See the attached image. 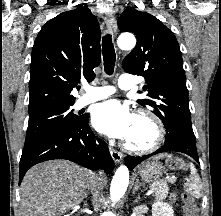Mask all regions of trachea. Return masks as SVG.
Returning <instances> with one entry per match:
<instances>
[{"mask_svg":"<svg viewBox=\"0 0 221 216\" xmlns=\"http://www.w3.org/2000/svg\"><path fill=\"white\" fill-rule=\"evenodd\" d=\"M102 52L104 60V70L106 74L112 75L115 66L116 54L112 43L111 35H106L102 39Z\"/></svg>","mask_w":221,"mask_h":216,"instance_id":"trachea-1","label":"trachea"}]
</instances>
